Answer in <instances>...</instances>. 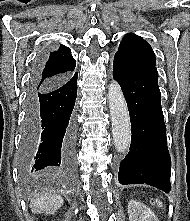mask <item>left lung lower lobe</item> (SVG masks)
Instances as JSON below:
<instances>
[{
    "instance_id": "obj_1",
    "label": "left lung lower lobe",
    "mask_w": 190,
    "mask_h": 221,
    "mask_svg": "<svg viewBox=\"0 0 190 221\" xmlns=\"http://www.w3.org/2000/svg\"><path fill=\"white\" fill-rule=\"evenodd\" d=\"M113 77L125 96L132 129L129 154L120 162L119 182L148 184L168 193L171 159L157 69L115 56Z\"/></svg>"
}]
</instances>
